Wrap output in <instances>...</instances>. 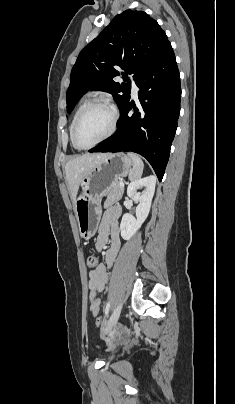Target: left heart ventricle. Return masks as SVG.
Segmentation results:
<instances>
[{
    "instance_id": "1",
    "label": "left heart ventricle",
    "mask_w": 235,
    "mask_h": 404,
    "mask_svg": "<svg viewBox=\"0 0 235 404\" xmlns=\"http://www.w3.org/2000/svg\"><path fill=\"white\" fill-rule=\"evenodd\" d=\"M111 123L112 113L108 108L95 107L91 109L78 126V142L83 146L97 142L109 131Z\"/></svg>"
}]
</instances>
